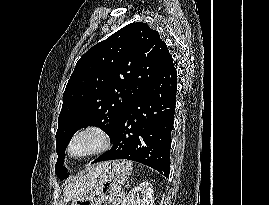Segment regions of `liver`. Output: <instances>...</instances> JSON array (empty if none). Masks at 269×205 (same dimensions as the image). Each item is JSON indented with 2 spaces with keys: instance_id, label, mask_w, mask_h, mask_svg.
Here are the masks:
<instances>
[{
  "instance_id": "1",
  "label": "liver",
  "mask_w": 269,
  "mask_h": 205,
  "mask_svg": "<svg viewBox=\"0 0 269 205\" xmlns=\"http://www.w3.org/2000/svg\"><path fill=\"white\" fill-rule=\"evenodd\" d=\"M108 165L109 162H101L90 166L72 179L64 188V201L69 202L88 193L95 186L97 178Z\"/></svg>"
}]
</instances>
